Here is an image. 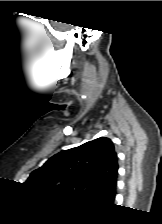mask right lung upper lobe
<instances>
[{"label": "right lung upper lobe", "instance_id": "obj_1", "mask_svg": "<svg viewBox=\"0 0 162 224\" xmlns=\"http://www.w3.org/2000/svg\"><path fill=\"white\" fill-rule=\"evenodd\" d=\"M117 154L108 138H98L62 151L39 169L26 183L40 190L79 196L90 203L111 202L116 194Z\"/></svg>", "mask_w": 162, "mask_h": 224}]
</instances>
